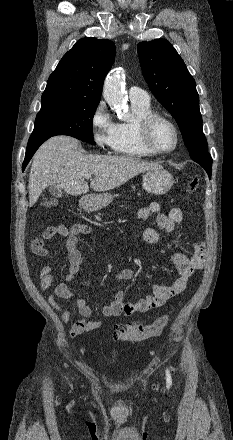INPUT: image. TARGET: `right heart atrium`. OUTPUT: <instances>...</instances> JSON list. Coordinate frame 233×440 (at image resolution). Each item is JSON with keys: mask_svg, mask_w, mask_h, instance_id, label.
Returning <instances> with one entry per match:
<instances>
[{"mask_svg": "<svg viewBox=\"0 0 233 440\" xmlns=\"http://www.w3.org/2000/svg\"><path fill=\"white\" fill-rule=\"evenodd\" d=\"M90 125L96 145L101 149L113 148L115 123L103 101L94 108Z\"/></svg>", "mask_w": 233, "mask_h": 440, "instance_id": "1", "label": "right heart atrium"}]
</instances>
